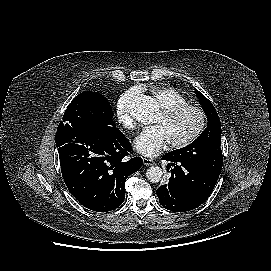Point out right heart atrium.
Here are the masks:
<instances>
[{"label":"right heart atrium","instance_id":"d8ad5b80","mask_svg":"<svg viewBox=\"0 0 271 271\" xmlns=\"http://www.w3.org/2000/svg\"><path fill=\"white\" fill-rule=\"evenodd\" d=\"M137 94V89H130L120 95L116 103L117 120L121 126L128 130L135 127V122L130 112V104Z\"/></svg>","mask_w":271,"mask_h":271}]
</instances>
